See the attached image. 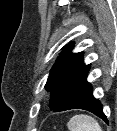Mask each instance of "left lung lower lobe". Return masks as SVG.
Listing matches in <instances>:
<instances>
[{
  "label": "left lung lower lobe",
  "instance_id": "obj_1",
  "mask_svg": "<svg viewBox=\"0 0 117 131\" xmlns=\"http://www.w3.org/2000/svg\"><path fill=\"white\" fill-rule=\"evenodd\" d=\"M69 95L72 102L67 106L66 110L84 109L92 112L108 123V120L102 110V104L98 99L94 98L90 85L87 84L82 89H74Z\"/></svg>",
  "mask_w": 117,
  "mask_h": 131
}]
</instances>
